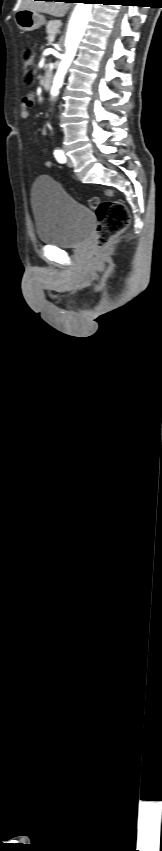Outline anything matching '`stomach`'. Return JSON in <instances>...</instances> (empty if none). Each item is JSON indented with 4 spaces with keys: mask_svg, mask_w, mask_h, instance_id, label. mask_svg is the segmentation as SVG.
<instances>
[{
    "mask_svg": "<svg viewBox=\"0 0 162 851\" xmlns=\"http://www.w3.org/2000/svg\"><path fill=\"white\" fill-rule=\"evenodd\" d=\"M15 22L18 28L24 32H30L40 28L45 19L38 12L30 9H20L15 14Z\"/></svg>",
    "mask_w": 162,
    "mask_h": 851,
    "instance_id": "0dacf381",
    "label": "stomach"
}]
</instances>
